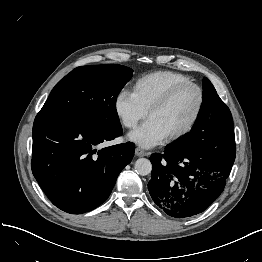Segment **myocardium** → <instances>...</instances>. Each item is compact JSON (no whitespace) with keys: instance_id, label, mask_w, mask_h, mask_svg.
Returning <instances> with one entry per match:
<instances>
[{"instance_id":"myocardium-1","label":"myocardium","mask_w":262,"mask_h":262,"mask_svg":"<svg viewBox=\"0 0 262 262\" xmlns=\"http://www.w3.org/2000/svg\"><path fill=\"white\" fill-rule=\"evenodd\" d=\"M187 88H193L197 92L198 103H197L196 110L192 118L184 128L167 136L168 141L179 140L184 136L188 135L194 129L200 118L205 102V95L203 89L198 84L193 82H186V83L179 84L173 87L172 89H170L161 99H159L156 103H154L147 111V115L148 117H150V115L153 112L158 111L164 108L165 106H167L178 93H180L181 91Z\"/></svg>"}]
</instances>
